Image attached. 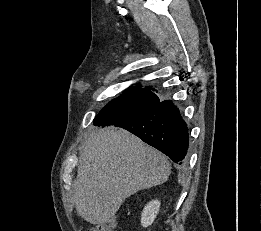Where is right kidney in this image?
<instances>
[{"label": "right kidney", "mask_w": 261, "mask_h": 231, "mask_svg": "<svg viewBox=\"0 0 261 231\" xmlns=\"http://www.w3.org/2000/svg\"><path fill=\"white\" fill-rule=\"evenodd\" d=\"M159 208L160 201L158 200H152L144 207L141 215V225L143 227H148L153 223L159 212Z\"/></svg>", "instance_id": "1"}]
</instances>
